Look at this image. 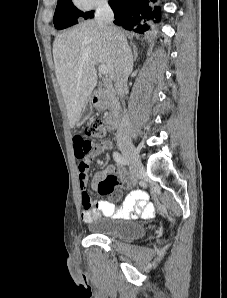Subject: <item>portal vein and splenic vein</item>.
<instances>
[{
	"mask_svg": "<svg viewBox=\"0 0 227 298\" xmlns=\"http://www.w3.org/2000/svg\"><path fill=\"white\" fill-rule=\"evenodd\" d=\"M98 71H99V73H101L103 75H107L108 74L107 67L105 65H99Z\"/></svg>",
	"mask_w": 227,
	"mask_h": 298,
	"instance_id": "obj_1",
	"label": "portal vein and splenic vein"
}]
</instances>
